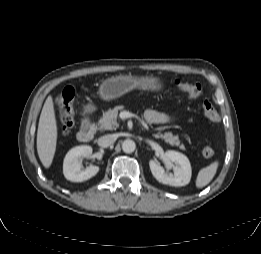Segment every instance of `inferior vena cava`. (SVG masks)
Wrapping results in <instances>:
<instances>
[{"label":"inferior vena cava","mask_w":261,"mask_h":254,"mask_svg":"<svg viewBox=\"0 0 261 254\" xmlns=\"http://www.w3.org/2000/svg\"><path fill=\"white\" fill-rule=\"evenodd\" d=\"M116 139H117L116 135L107 134V135L101 136L98 139V145L105 148V147L112 145L116 141Z\"/></svg>","instance_id":"inferior-vena-cava-1"}]
</instances>
